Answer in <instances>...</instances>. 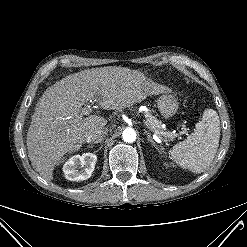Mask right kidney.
I'll list each match as a JSON object with an SVG mask.
<instances>
[{"mask_svg":"<svg viewBox=\"0 0 247 247\" xmlns=\"http://www.w3.org/2000/svg\"><path fill=\"white\" fill-rule=\"evenodd\" d=\"M96 161L97 156L93 153L72 156L63 166L65 178L71 181L87 180L94 171Z\"/></svg>","mask_w":247,"mask_h":247,"instance_id":"obj_1","label":"right kidney"}]
</instances>
